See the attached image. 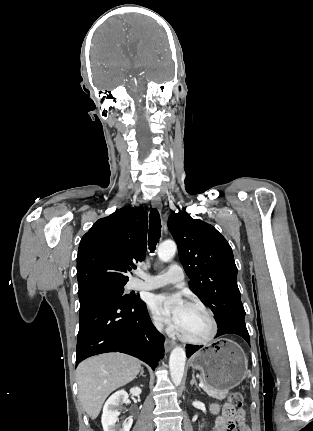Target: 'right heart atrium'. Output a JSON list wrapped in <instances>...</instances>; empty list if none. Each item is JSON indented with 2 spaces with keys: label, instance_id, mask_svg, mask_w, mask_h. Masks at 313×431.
<instances>
[{
  "label": "right heart atrium",
  "instance_id": "obj_1",
  "mask_svg": "<svg viewBox=\"0 0 313 431\" xmlns=\"http://www.w3.org/2000/svg\"><path fill=\"white\" fill-rule=\"evenodd\" d=\"M153 325L157 330H159V331L163 330V324L157 318H153Z\"/></svg>",
  "mask_w": 313,
  "mask_h": 431
}]
</instances>
